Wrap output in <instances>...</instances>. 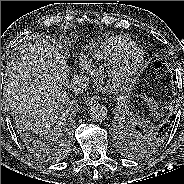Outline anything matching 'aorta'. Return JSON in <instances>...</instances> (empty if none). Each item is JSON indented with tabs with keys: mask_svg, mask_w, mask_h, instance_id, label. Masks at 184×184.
I'll return each instance as SVG.
<instances>
[{
	"mask_svg": "<svg viewBox=\"0 0 184 184\" xmlns=\"http://www.w3.org/2000/svg\"><path fill=\"white\" fill-rule=\"evenodd\" d=\"M90 118L95 122H102L107 118V108L100 103L93 104L89 109Z\"/></svg>",
	"mask_w": 184,
	"mask_h": 184,
	"instance_id": "1",
	"label": "aorta"
}]
</instances>
